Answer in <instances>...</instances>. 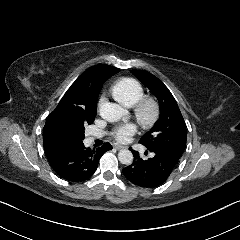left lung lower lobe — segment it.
<instances>
[{"instance_id": "obj_1", "label": "left lung lower lobe", "mask_w": 240, "mask_h": 240, "mask_svg": "<svg viewBox=\"0 0 240 240\" xmlns=\"http://www.w3.org/2000/svg\"><path fill=\"white\" fill-rule=\"evenodd\" d=\"M129 149L134 155V162L122 172L128 181L144 188H154L163 184L179 161V158L159 148L148 149L154 154L148 160L141 159L138 152Z\"/></svg>"}]
</instances>
